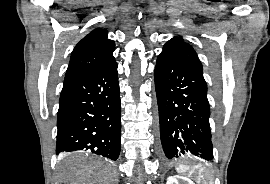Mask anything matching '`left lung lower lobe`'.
I'll use <instances>...</instances> for the list:
<instances>
[{
	"instance_id": "1",
	"label": "left lung lower lobe",
	"mask_w": 270,
	"mask_h": 184,
	"mask_svg": "<svg viewBox=\"0 0 270 184\" xmlns=\"http://www.w3.org/2000/svg\"><path fill=\"white\" fill-rule=\"evenodd\" d=\"M154 79L164 162L180 157L211 162L210 106L203 75L183 59L161 53Z\"/></svg>"
}]
</instances>
